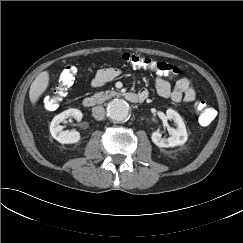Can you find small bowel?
<instances>
[{
  "label": "small bowel",
  "mask_w": 243,
  "mask_h": 243,
  "mask_svg": "<svg viewBox=\"0 0 243 243\" xmlns=\"http://www.w3.org/2000/svg\"><path fill=\"white\" fill-rule=\"evenodd\" d=\"M120 70L117 68H104L99 70L92 80V86L95 88L101 87L106 83L114 80L120 75ZM156 91L160 97L170 98L172 101L191 103L196 99V91L192 86L191 81L186 77L179 78L174 86L158 74L155 78ZM141 95L148 97L149 91L147 89H141L139 92Z\"/></svg>",
  "instance_id": "c3829d8e"
}]
</instances>
